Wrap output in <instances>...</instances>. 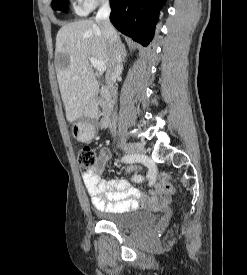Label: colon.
Masks as SVG:
<instances>
[{"label":"colon","instance_id":"1","mask_svg":"<svg viewBox=\"0 0 247 275\" xmlns=\"http://www.w3.org/2000/svg\"><path fill=\"white\" fill-rule=\"evenodd\" d=\"M77 161H78L79 169L82 172H87L94 166V164L96 162V156H95L94 151L88 146L83 147L78 152ZM170 179H171V177L168 174H161L159 177V180L163 184V186L167 190H169L171 193H174L175 188L172 185V183L170 182Z\"/></svg>","mask_w":247,"mask_h":275}]
</instances>
